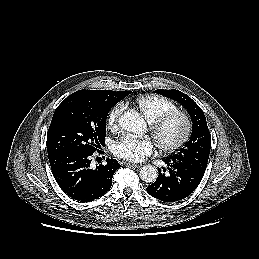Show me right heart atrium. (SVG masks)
<instances>
[{
  "label": "right heart atrium",
  "mask_w": 259,
  "mask_h": 259,
  "mask_svg": "<svg viewBox=\"0 0 259 259\" xmlns=\"http://www.w3.org/2000/svg\"><path fill=\"white\" fill-rule=\"evenodd\" d=\"M124 111V105L119 103L114 106L107 116V127L116 130L119 126V119Z\"/></svg>",
  "instance_id": "1"
}]
</instances>
